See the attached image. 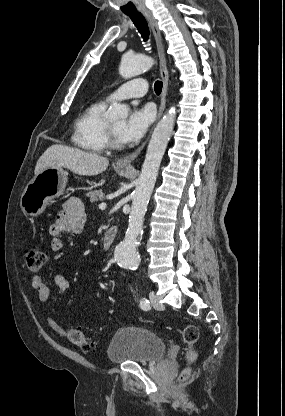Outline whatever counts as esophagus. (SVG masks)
I'll return each mask as SVG.
<instances>
[{
	"instance_id": "1",
	"label": "esophagus",
	"mask_w": 285,
	"mask_h": 416,
	"mask_svg": "<svg viewBox=\"0 0 285 416\" xmlns=\"http://www.w3.org/2000/svg\"><path fill=\"white\" fill-rule=\"evenodd\" d=\"M143 15L146 17V19L148 20L155 41H156V46H157V51H158V55H159V68H160V73H161V78L163 80V88H162V93H161V104L158 110V114H157V120H159V118L161 117L164 109H165V105H166V96H167V90H168V85H169V74H168V70H167V62H166V57H165V50H164V45L162 42V37H161V33L157 24L156 19L154 18L152 12H142ZM151 133V132H150ZM150 137H147L146 141H144V143H142L141 146H139L135 151H133V153H130V155L124 156L123 158H120L117 162L118 165L120 166H130L131 162L133 160H135V158H137V156L141 153V151L143 150V148L145 147L148 139Z\"/></svg>"
}]
</instances>
